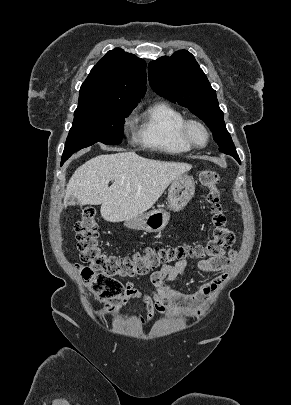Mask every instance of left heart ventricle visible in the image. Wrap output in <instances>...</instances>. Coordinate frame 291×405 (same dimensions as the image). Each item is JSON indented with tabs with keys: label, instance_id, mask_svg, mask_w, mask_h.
Returning a JSON list of instances; mask_svg holds the SVG:
<instances>
[{
	"label": "left heart ventricle",
	"instance_id": "1",
	"mask_svg": "<svg viewBox=\"0 0 291 405\" xmlns=\"http://www.w3.org/2000/svg\"><path fill=\"white\" fill-rule=\"evenodd\" d=\"M192 136H193L194 140L200 144L203 143L205 140L203 132L197 128H194L192 130Z\"/></svg>",
	"mask_w": 291,
	"mask_h": 405
}]
</instances>
